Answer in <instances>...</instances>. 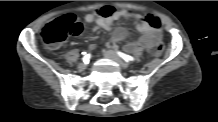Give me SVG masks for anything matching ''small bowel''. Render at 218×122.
Returning <instances> with one entry per match:
<instances>
[{"label": "small bowel", "instance_id": "c3829d8e", "mask_svg": "<svg viewBox=\"0 0 218 122\" xmlns=\"http://www.w3.org/2000/svg\"><path fill=\"white\" fill-rule=\"evenodd\" d=\"M110 11V13H106ZM121 18L133 19L136 29L141 33V37L128 43L125 49L129 52H135L138 49H145L150 52H154L155 47L161 41V30L151 26L139 13L129 10H116L112 6H103L95 12L87 13L84 16V20L87 23H94L93 31L98 28H103L106 31H111L115 21ZM127 35V31L123 27H118L113 31L110 43H117L122 41ZM95 45H90L89 49L94 50Z\"/></svg>", "mask_w": 218, "mask_h": 122}]
</instances>
